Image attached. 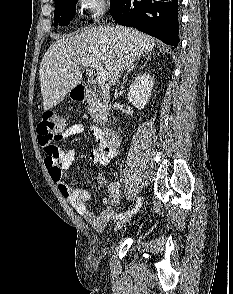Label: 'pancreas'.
I'll use <instances>...</instances> for the list:
<instances>
[{
	"label": "pancreas",
	"instance_id": "obj_1",
	"mask_svg": "<svg viewBox=\"0 0 233 294\" xmlns=\"http://www.w3.org/2000/svg\"><path fill=\"white\" fill-rule=\"evenodd\" d=\"M88 103L93 121L103 124L107 116V102L96 91H92Z\"/></svg>",
	"mask_w": 233,
	"mask_h": 294
}]
</instances>
